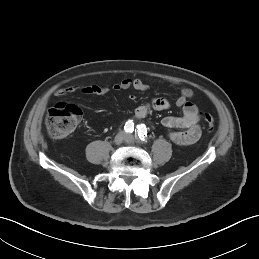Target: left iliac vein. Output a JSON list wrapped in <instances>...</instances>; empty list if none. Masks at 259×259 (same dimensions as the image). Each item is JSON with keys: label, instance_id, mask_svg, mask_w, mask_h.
<instances>
[{"label": "left iliac vein", "instance_id": "left-iliac-vein-1", "mask_svg": "<svg viewBox=\"0 0 259 259\" xmlns=\"http://www.w3.org/2000/svg\"><path fill=\"white\" fill-rule=\"evenodd\" d=\"M125 141L128 144H134L135 143V137L132 134H127L126 138H125Z\"/></svg>", "mask_w": 259, "mask_h": 259}]
</instances>
